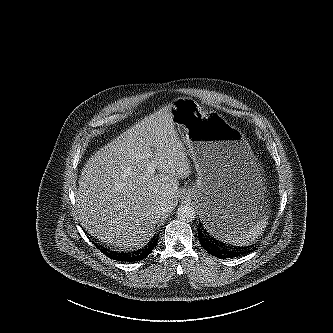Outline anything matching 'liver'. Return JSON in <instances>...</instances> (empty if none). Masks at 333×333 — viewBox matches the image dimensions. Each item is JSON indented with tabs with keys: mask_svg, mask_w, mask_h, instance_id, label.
I'll return each mask as SVG.
<instances>
[{
	"mask_svg": "<svg viewBox=\"0 0 333 333\" xmlns=\"http://www.w3.org/2000/svg\"><path fill=\"white\" fill-rule=\"evenodd\" d=\"M190 174L169 105L89 158L75 196L81 225L102 243L143 246L161 216L157 206L164 204L170 213L177 205L179 179Z\"/></svg>",
	"mask_w": 333,
	"mask_h": 333,
	"instance_id": "liver-1",
	"label": "liver"
}]
</instances>
